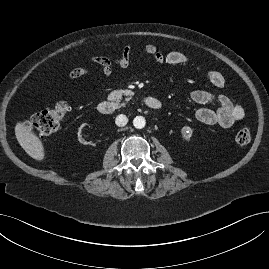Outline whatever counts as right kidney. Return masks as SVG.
Returning a JSON list of instances; mask_svg holds the SVG:
<instances>
[{
  "label": "right kidney",
  "instance_id": "right-kidney-1",
  "mask_svg": "<svg viewBox=\"0 0 269 269\" xmlns=\"http://www.w3.org/2000/svg\"><path fill=\"white\" fill-rule=\"evenodd\" d=\"M87 125V123H83L81 126H80V128H79V131H78V139H79V141L81 142V143H83V144H88L89 143V148H94V143H92L94 140L91 138H87L85 141H84V139L82 138V135H81V133H82V129L85 127ZM91 142V143H90Z\"/></svg>",
  "mask_w": 269,
  "mask_h": 269
}]
</instances>
